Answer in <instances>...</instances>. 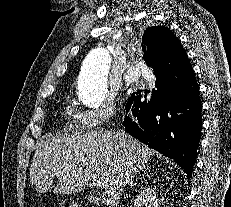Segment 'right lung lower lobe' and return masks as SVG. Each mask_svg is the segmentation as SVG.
I'll return each instance as SVG.
<instances>
[{"label":"right lung lower lobe","mask_w":231,"mask_h":207,"mask_svg":"<svg viewBox=\"0 0 231 207\" xmlns=\"http://www.w3.org/2000/svg\"><path fill=\"white\" fill-rule=\"evenodd\" d=\"M154 30L147 28L142 39ZM154 74L152 92L141 94L140 90L129 98L123 114L125 131L173 159L190 178L202 127L198 83L191 63L178 69L154 70ZM141 96L149 98L141 102Z\"/></svg>","instance_id":"right-lung-lower-lobe-1"}]
</instances>
